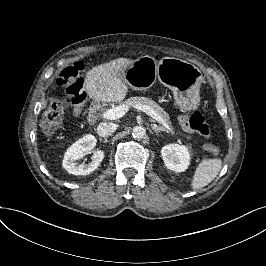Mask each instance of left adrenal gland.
<instances>
[{"label":"left adrenal gland","mask_w":266,"mask_h":266,"mask_svg":"<svg viewBox=\"0 0 266 266\" xmlns=\"http://www.w3.org/2000/svg\"><path fill=\"white\" fill-rule=\"evenodd\" d=\"M152 130L155 132L156 135H159L161 132L168 133L167 130H165L164 128L159 127L157 125H153Z\"/></svg>","instance_id":"left-adrenal-gland-1"}]
</instances>
